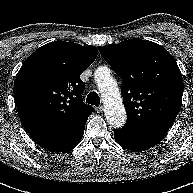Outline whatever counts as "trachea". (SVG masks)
<instances>
[{"instance_id": "trachea-1", "label": "trachea", "mask_w": 193, "mask_h": 193, "mask_svg": "<svg viewBox=\"0 0 193 193\" xmlns=\"http://www.w3.org/2000/svg\"><path fill=\"white\" fill-rule=\"evenodd\" d=\"M86 103L94 105V106H99L100 105V98L96 92H91L88 94L86 98Z\"/></svg>"}]
</instances>
